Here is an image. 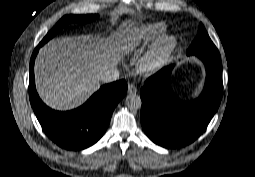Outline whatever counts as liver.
Wrapping results in <instances>:
<instances>
[{
	"label": "liver",
	"instance_id": "obj_1",
	"mask_svg": "<svg viewBox=\"0 0 255 177\" xmlns=\"http://www.w3.org/2000/svg\"><path fill=\"white\" fill-rule=\"evenodd\" d=\"M118 58L117 43L100 37L52 40L41 48L35 62L37 90L53 108H75L99 89L101 74Z\"/></svg>",
	"mask_w": 255,
	"mask_h": 177
}]
</instances>
